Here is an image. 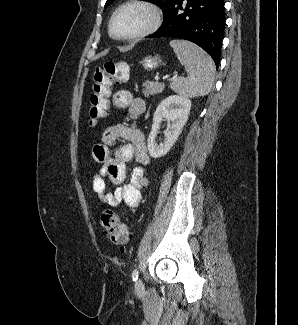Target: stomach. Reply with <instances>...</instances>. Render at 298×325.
I'll return each mask as SVG.
<instances>
[{
	"mask_svg": "<svg viewBox=\"0 0 298 325\" xmlns=\"http://www.w3.org/2000/svg\"><path fill=\"white\" fill-rule=\"evenodd\" d=\"M139 62L145 70H156V68L164 64L163 56H160V54H145Z\"/></svg>",
	"mask_w": 298,
	"mask_h": 325,
	"instance_id": "obj_1",
	"label": "stomach"
}]
</instances>
